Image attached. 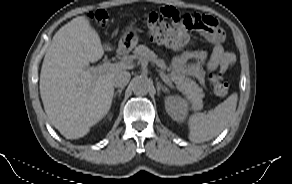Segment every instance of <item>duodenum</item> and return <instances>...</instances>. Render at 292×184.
<instances>
[{
  "label": "duodenum",
  "mask_w": 292,
  "mask_h": 184,
  "mask_svg": "<svg viewBox=\"0 0 292 184\" xmlns=\"http://www.w3.org/2000/svg\"><path fill=\"white\" fill-rule=\"evenodd\" d=\"M118 54H122V51H119Z\"/></svg>",
  "instance_id": "1"
}]
</instances>
